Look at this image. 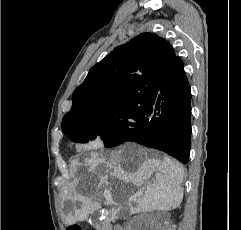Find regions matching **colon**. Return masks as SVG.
Here are the masks:
<instances>
[{
  "label": "colon",
  "mask_w": 241,
  "mask_h": 230,
  "mask_svg": "<svg viewBox=\"0 0 241 230\" xmlns=\"http://www.w3.org/2000/svg\"><path fill=\"white\" fill-rule=\"evenodd\" d=\"M67 230H81L78 226H71Z\"/></svg>",
  "instance_id": "1"
}]
</instances>
